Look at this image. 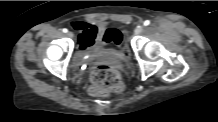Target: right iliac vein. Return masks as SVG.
Here are the masks:
<instances>
[{
  "label": "right iliac vein",
  "instance_id": "right-iliac-vein-1",
  "mask_svg": "<svg viewBox=\"0 0 218 122\" xmlns=\"http://www.w3.org/2000/svg\"><path fill=\"white\" fill-rule=\"evenodd\" d=\"M69 38H73V33L72 32H67L66 34Z\"/></svg>",
  "mask_w": 218,
  "mask_h": 122
}]
</instances>
